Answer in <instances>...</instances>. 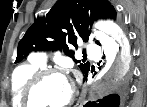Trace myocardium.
I'll return each instance as SVG.
<instances>
[{
  "mask_svg": "<svg viewBox=\"0 0 147 107\" xmlns=\"http://www.w3.org/2000/svg\"><path fill=\"white\" fill-rule=\"evenodd\" d=\"M53 76L62 77L67 80V77L65 76L62 70L58 68H53V67L42 68L31 77L22 95V101L25 107H37L34 105V102L32 100L34 91L44 80ZM70 86H71V93L69 98L67 99L65 103H63L62 105L58 107H68L74 102L75 95H76L75 87L72 82L70 83Z\"/></svg>",
  "mask_w": 147,
  "mask_h": 107,
  "instance_id": "obj_1",
  "label": "myocardium"
}]
</instances>
